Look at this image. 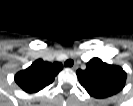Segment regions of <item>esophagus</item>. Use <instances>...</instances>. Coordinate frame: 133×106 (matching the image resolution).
Instances as JSON below:
<instances>
[{
    "label": "esophagus",
    "mask_w": 133,
    "mask_h": 106,
    "mask_svg": "<svg viewBox=\"0 0 133 106\" xmlns=\"http://www.w3.org/2000/svg\"><path fill=\"white\" fill-rule=\"evenodd\" d=\"M78 68L77 64H74V66L72 67V70H76Z\"/></svg>",
    "instance_id": "obj_1"
}]
</instances>
